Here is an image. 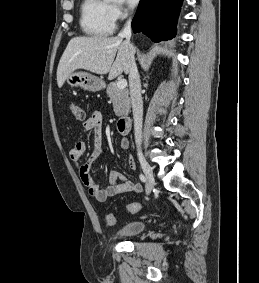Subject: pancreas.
Returning a JSON list of instances; mask_svg holds the SVG:
<instances>
[{
  "label": "pancreas",
  "mask_w": 259,
  "mask_h": 283,
  "mask_svg": "<svg viewBox=\"0 0 259 283\" xmlns=\"http://www.w3.org/2000/svg\"><path fill=\"white\" fill-rule=\"evenodd\" d=\"M106 93L112 101L116 116L126 115L130 111L129 92L126 88L119 89L116 83L112 82L108 85Z\"/></svg>",
  "instance_id": "cf45deb5"
}]
</instances>
